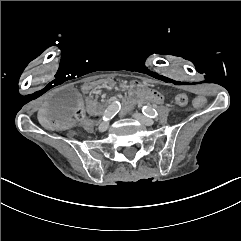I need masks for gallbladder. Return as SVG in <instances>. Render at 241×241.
Listing matches in <instances>:
<instances>
[{"label": "gallbladder", "mask_w": 241, "mask_h": 241, "mask_svg": "<svg viewBox=\"0 0 241 241\" xmlns=\"http://www.w3.org/2000/svg\"><path fill=\"white\" fill-rule=\"evenodd\" d=\"M79 104V90L75 86H65L48 101V110L58 119H70Z\"/></svg>", "instance_id": "gallbladder-1"}]
</instances>
